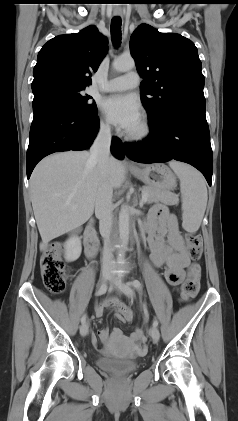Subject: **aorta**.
<instances>
[{
    "instance_id": "1",
    "label": "aorta",
    "mask_w": 238,
    "mask_h": 421,
    "mask_svg": "<svg viewBox=\"0 0 238 421\" xmlns=\"http://www.w3.org/2000/svg\"><path fill=\"white\" fill-rule=\"evenodd\" d=\"M113 68L118 72H126L135 67L133 58H117L112 63ZM129 210L127 206H123L119 213V234L121 245L125 249L129 240Z\"/></svg>"
}]
</instances>
